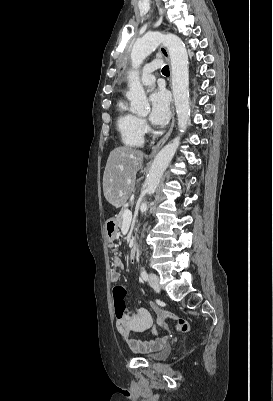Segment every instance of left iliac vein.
Here are the masks:
<instances>
[{"label":"left iliac vein","mask_w":273,"mask_h":401,"mask_svg":"<svg viewBox=\"0 0 273 401\" xmlns=\"http://www.w3.org/2000/svg\"><path fill=\"white\" fill-rule=\"evenodd\" d=\"M148 282L155 291H159L160 289L159 277L155 273L152 272L150 273Z\"/></svg>","instance_id":"4c4485c4"}]
</instances>
